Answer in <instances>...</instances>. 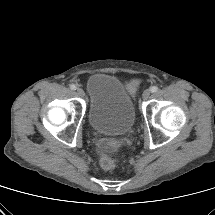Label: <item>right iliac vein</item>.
Masks as SVG:
<instances>
[{
	"label": "right iliac vein",
	"instance_id": "1",
	"mask_svg": "<svg viewBox=\"0 0 215 215\" xmlns=\"http://www.w3.org/2000/svg\"><path fill=\"white\" fill-rule=\"evenodd\" d=\"M77 94H78L80 97H83V96H84V91H83L81 88H77Z\"/></svg>",
	"mask_w": 215,
	"mask_h": 215
}]
</instances>
